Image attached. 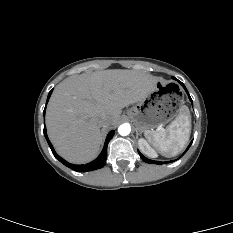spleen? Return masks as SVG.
Listing matches in <instances>:
<instances>
[{
	"mask_svg": "<svg viewBox=\"0 0 233 233\" xmlns=\"http://www.w3.org/2000/svg\"><path fill=\"white\" fill-rule=\"evenodd\" d=\"M191 116L187 106L179 109L177 117L166 129L146 132L147 140L163 156L172 157L180 153L190 138Z\"/></svg>",
	"mask_w": 233,
	"mask_h": 233,
	"instance_id": "obj_1",
	"label": "spleen"
}]
</instances>
